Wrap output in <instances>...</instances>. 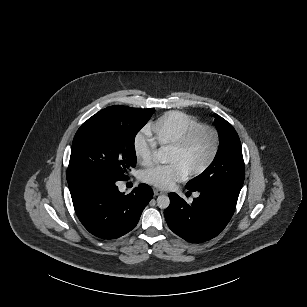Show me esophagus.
<instances>
[{"label": "esophagus", "mask_w": 307, "mask_h": 307, "mask_svg": "<svg viewBox=\"0 0 307 307\" xmlns=\"http://www.w3.org/2000/svg\"><path fill=\"white\" fill-rule=\"evenodd\" d=\"M164 193H165L164 191L159 190V189H155V190H154V195H155V196L162 195V194H164Z\"/></svg>", "instance_id": "obj_1"}]
</instances>
